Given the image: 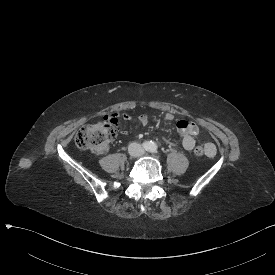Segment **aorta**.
<instances>
[{"instance_id":"1","label":"aorta","mask_w":275,"mask_h":275,"mask_svg":"<svg viewBox=\"0 0 275 275\" xmlns=\"http://www.w3.org/2000/svg\"><path fill=\"white\" fill-rule=\"evenodd\" d=\"M146 150L150 152H155L157 150V145L154 142H147Z\"/></svg>"}]
</instances>
